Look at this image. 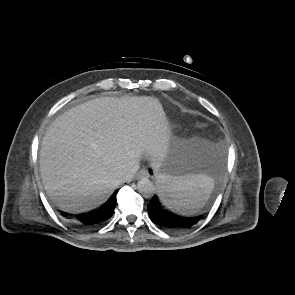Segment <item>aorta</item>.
<instances>
[{
	"label": "aorta",
	"instance_id": "aorta-1",
	"mask_svg": "<svg viewBox=\"0 0 295 295\" xmlns=\"http://www.w3.org/2000/svg\"><path fill=\"white\" fill-rule=\"evenodd\" d=\"M138 192L145 198H150L155 194L156 188L148 178H142L137 183Z\"/></svg>",
	"mask_w": 295,
	"mask_h": 295
}]
</instances>
